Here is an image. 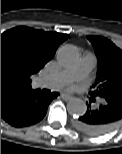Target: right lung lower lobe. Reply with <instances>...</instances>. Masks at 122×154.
<instances>
[{"label": "right lung lower lobe", "instance_id": "right-lung-lower-lobe-1", "mask_svg": "<svg viewBox=\"0 0 122 154\" xmlns=\"http://www.w3.org/2000/svg\"><path fill=\"white\" fill-rule=\"evenodd\" d=\"M57 92L44 95L40 90L25 92L1 108V118L14 127H26L41 121Z\"/></svg>", "mask_w": 122, "mask_h": 154}]
</instances>
